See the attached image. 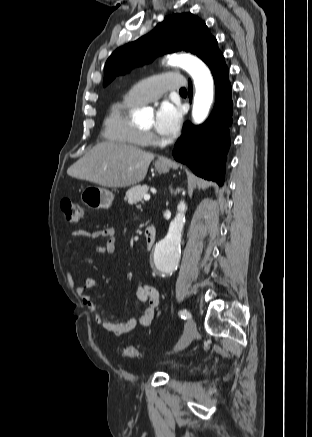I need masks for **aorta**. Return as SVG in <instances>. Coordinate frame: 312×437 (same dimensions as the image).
Returning a JSON list of instances; mask_svg holds the SVG:
<instances>
[{
    "instance_id": "aorta-1",
    "label": "aorta",
    "mask_w": 312,
    "mask_h": 437,
    "mask_svg": "<svg viewBox=\"0 0 312 437\" xmlns=\"http://www.w3.org/2000/svg\"><path fill=\"white\" fill-rule=\"evenodd\" d=\"M167 63L182 67L193 78L195 96L192 118L195 124L202 123L206 119L213 101V79L209 69L200 59L186 54L171 55ZM185 210L186 204L181 201L177 206V214L170 223L166 237L156 245L154 262L160 273H170L178 266L180 241L185 224Z\"/></svg>"
}]
</instances>
